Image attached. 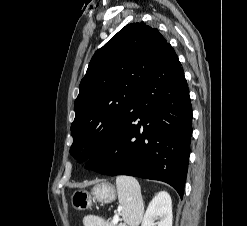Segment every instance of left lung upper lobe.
<instances>
[{"label": "left lung upper lobe", "instance_id": "1", "mask_svg": "<svg viewBox=\"0 0 247 226\" xmlns=\"http://www.w3.org/2000/svg\"><path fill=\"white\" fill-rule=\"evenodd\" d=\"M166 44L157 29L132 23L95 52L74 102L70 154L78 162L114 139Z\"/></svg>", "mask_w": 247, "mask_h": 226}]
</instances>
